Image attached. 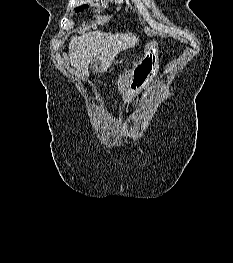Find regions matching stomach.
<instances>
[{
	"instance_id": "0dacf381",
	"label": "stomach",
	"mask_w": 233,
	"mask_h": 263,
	"mask_svg": "<svg viewBox=\"0 0 233 263\" xmlns=\"http://www.w3.org/2000/svg\"><path fill=\"white\" fill-rule=\"evenodd\" d=\"M159 47L155 41L145 45L144 55L133 70L132 77H112V82H118L121 91H138L147 87L156 77L159 69Z\"/></svg>"
}]
</instances>
